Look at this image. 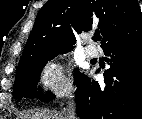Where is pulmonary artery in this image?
<instances>
[{
  "instance_id": "obj_1",
  "label": "pulmonary artery",
  "mask_w": 142,
  "mask_h": 119,
  "mask_svg": "<svg viewBox=\"0 0 142 119\" xmlns=\"http://www.w3.org/2000/svg\"><path fill=\"white\" fill-rule=\"evenodd\" d=\"M84 52L88 58H95L98 56V49L93 45L86 46Z\"/></svg>"
}]
</instances>
